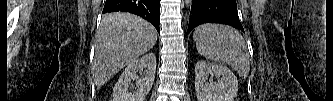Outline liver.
Instances as JSON below:
<instances>
[{"label": "liver", "instance_id": "liver-1", "mask_svg": "<svg viewBox=\"0 0 333 101\" xmlns=\"http://www.w3.org/2000/svg\"><path fill=\"white\" fill-rule=\"evenodd\" d=\"M156 41V29L144 19L121 12L105 15L91 66L96 87L104 85L120 69L150 50Z\"/></svg>", "mask_w": 333, "mask_h": 101}]
</instances>
